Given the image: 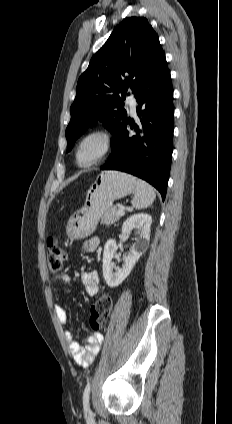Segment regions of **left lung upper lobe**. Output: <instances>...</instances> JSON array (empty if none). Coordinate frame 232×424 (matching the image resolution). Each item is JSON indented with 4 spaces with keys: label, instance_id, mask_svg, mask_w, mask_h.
<instances>
[{
    "label": "left lung upper lobe",
    "instance_id": "left-lung-upper-lobe-1",
    "mask_svg": "<svg viewBox=\"0 0 232 424\" xmlns=\"http://www.w3.org/2000/svg\"><path fill=\"white\" fill-rule=\"evenodd\" d=\"M163 58L165 55L158 35L148 20L125 18L79 77L76 97L70 108L71 120L65 133L67 151L97 120L116 139L127 119L121 99H125L128 88L135 93Z\"/></svg>",
    "mask_w": 232,
    "mask_h": 424
}]
</instances>
